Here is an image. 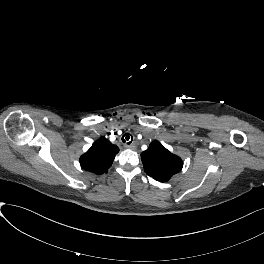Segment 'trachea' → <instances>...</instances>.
<instances>
[{"instance_id": "trachea-1", "label": "trachea", "mask_w": 264, "mask_h": 264, "mask_svg": "<svg viewBox=\"0 0 264 264\" xmlns=\"http://www.w3.org/2000/svg\"><path fill=\"white\" fill-rule=\"evenodd\" d=\"M133 138H132V135H127L125 134L123 137H122V142L123 143H126V144H130L132 142Z\"/></svg>"}]
</instances>
